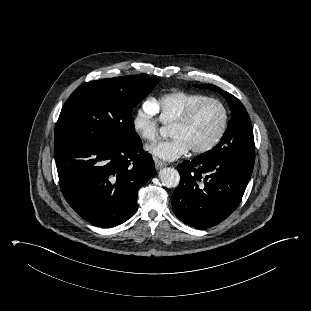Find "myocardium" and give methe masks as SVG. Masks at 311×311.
Listing matches in <instances>:
<instances>
[{
	"instance_id": "f54148a6",
	"label": "myocardium",
	"mask_w": 311,
	"mask_h": 311,
	"mask_svg": "<svg viewBox=\"0 0 311 311\" xmlns=\"http://www.w3.org/2000/svg\"><path fill=\"white\" fill-rule=\"evenodd\" d=\"M207 103H216L221 107L222 113H223L222 123H221V126L218 132L216 133V135L210 142H208L204 146L191 149V151L196 154H201V153H205V152L212 150L224 136L227 126H228V121H229V112H228L226 105L217 98L207 97L199 101L198 103L194 104L192 107H190L178 120H176L172 124V126L188 125L193 120V118L195 117L197 112L200 110V108Z\"/></svg>"
}]
</instances>
